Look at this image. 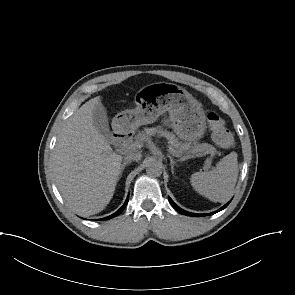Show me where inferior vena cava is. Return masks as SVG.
<instances>
[{
    "label": "inferior vena cava",
    "mask_w": 295,
    "mask_h": 295,
    "mask_svg": "<svg viewBox=\"0 0 295 295\" xmlns=\"http://www.w3.org/2000/svg\"><path fill=\"white\" fill-rule=\"evenodd\" d=\"M142 155L141 153L139 152H131L129 154H127L125 157H124V161H139L141 159Z\"/></svg>",
    "instance_id": "1"
}]
</instances>
